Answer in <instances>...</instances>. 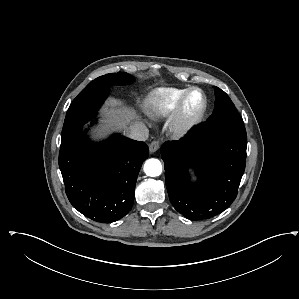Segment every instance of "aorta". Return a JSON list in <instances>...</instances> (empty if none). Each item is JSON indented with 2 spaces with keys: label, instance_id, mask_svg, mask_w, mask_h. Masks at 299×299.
<instances>
[{
  "label": "aorta",
  "instance_id": "762f6f07",
  "mask_svg": "<svg viewBox=\"0 0 299 299\" xmlns=\"http://www.w3.org/2000/svg\"><path fill=\"white\" fill-rule=\"evenodd\" d=\"M144 172L147 176L156 177L162 173V165L158 159H148L144 164Z\"/></svg>",
  "mask_w": 299,
  "mask_h": 299
}]
</instances>
